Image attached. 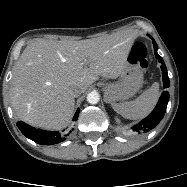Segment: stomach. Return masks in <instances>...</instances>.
I'll return each instance as SVG.
<instances>
[{
	"instance_id": "1",
	"label": "stomach",
	"mask_w": 187,
	"mask_h": 187,
	"mask_svg": "<svg viewBox=\"0 0 187 187\" xmlns=\"http://www.w3.org/2000/svg\"><path fill=\"white\" fill-rule=\"evenodd\" d=\"M143 71L138 63H129L120 75L117 82L104 87V97L108 103L126 100L132 97L141 88Z\"/></svg>"
}]
</instances>
